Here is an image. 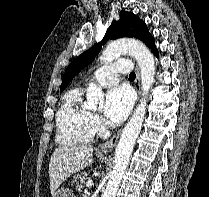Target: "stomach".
<instances>
[{
	"label": "stomach",
	"mask_w": 209,
	"mask_h": 197,
	"mask_svg": "<svg viewBox=\"0 0 209 197\" xmlns=\"http://www.w3.org/2000/svg\"><path fill=\"white\" fill-rule=\"evenodd\" d=\"M53 197H75L73 192L67 188L59 189L55 192Z\"/></svg>",
	"instance_id": "1"
}]
</instances>
